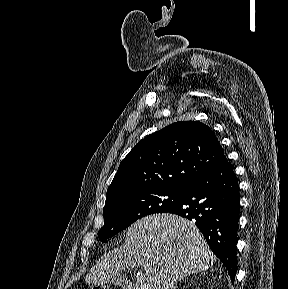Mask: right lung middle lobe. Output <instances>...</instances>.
<instances>
[{
  "instance_id": "right-lung-middle-lobe-1",
  "label": "right lung middle lobe",
  "mask_w": 288,
  "mask_h": 289,
  "mask_svg": "<svg viewBox=\"0 0 288 289\" xmlns=\"http://www.w3.org/2000/svg\"><path fill=\"white\" fill-rule=\"evenodd\" d=\"M183 194L184 188H151L106 197L104 226L99 230V239L107 242V238L144 216L168 212L180 202Z\"/></svg>"
}]
</instances>
